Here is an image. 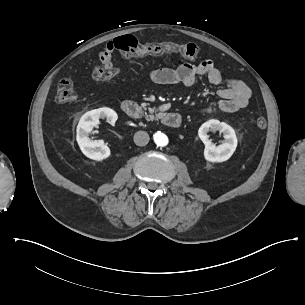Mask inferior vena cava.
<instances>
[{"mask_svg": "<svg viewBox=\"0 0 305 305\" xmlns=\"http://www.w3.org/2000/svg\"><path fill=\"white\" fill-rule=\"evenodd\" d=\"M150 140L149 134L145 131H138L134 135V142L138 146H145Z\"/></svg>", "mask_w": 305, "mask_h": 305, "instance_id": "inferior-vena-cava-1", "label": "inferior vena cava"}]
</instances>
